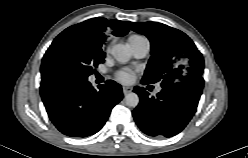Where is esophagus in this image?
Returning <instances> with one entry per match:
<instances>
[{
    "instance_id": "obj_1",
    "label": "esophagus",
    "mask_w": 248,
    "mask_h": 158,
    "mask_svg": "<svg viewBox=\"0 0 248 158\" xmlns=\"http://www.w3.org/2000/svg\"><path fill=\"white\" fill-rule=\"evenodd\" d=\"M122 90H123V94L126 95L132 91V88L123 86Z\"/></svg>"
}]
</instances>
